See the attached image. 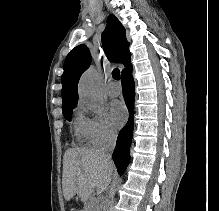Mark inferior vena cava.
Here are the masks:
<instances>
[{
    "mask_svg": "<svg viewBox=\"0 0 219 211\" xmlns=\"http://www.w3.org/2000/svg\"><path fill=\"white\" fill-rule=\"evenodd\" d=\"M116 137H117V131L115 133H112V131H109L107 137H105L104 145H102L101 149H98L106 159H111L112 161V151L116 145ZM112 165H114L112 161Z\"/></svg>",
    "mask_w": 219,
    "mask_h": 211,
    "instance_id": "1",
    "label": "inferior vena cava"
}]
</instances>
